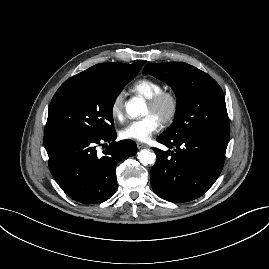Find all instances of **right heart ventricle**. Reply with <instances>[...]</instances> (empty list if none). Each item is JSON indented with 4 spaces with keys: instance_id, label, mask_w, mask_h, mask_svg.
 <instances>
[{
    "instance_id": "right-heart-ventricle-1",
    "label": "right heart ventricle",
    "mask_w": 269,
    "mask_h": 269,
    "mask_svg": "<svg viewBox=\"0 0 269 269\" xmlns=\"http://www.w3.org/2000/svg\"><path fill=\"white\" fill-rule=\"evenodd\" d=\"M131 90L146 99H150L162 91V85L151 78H140L132 84Z\"/></svg>"
}]
</instances>
